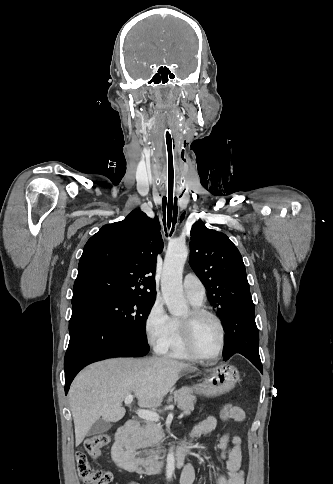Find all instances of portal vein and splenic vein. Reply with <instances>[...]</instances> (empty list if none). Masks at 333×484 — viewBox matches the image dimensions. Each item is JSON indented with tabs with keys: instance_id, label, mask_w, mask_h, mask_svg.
Returning <instances> with one entry per match:
<instances>
[{
	"instance_id": "portal-vein-and-splenic-vein-1",
	"label": "portal vein and splenic vein",
	"mask_w": 333,
	"mask_h": 484,
	"mask_svg": "<svg viewBox=\"0 0 333 484\" xmlns=\"http://www.w3.org/2000/svg\"><path fill=\"white\" fill-rule=\"evenodd\" d=\"M132 401H133L132 395H127L124 399L125 404H130ZM137 415L138 417L147 421H152V422L159 421V415L155 411L139 409L137 410ZM183 417H184L183 414H180L178 416L179 419H182Z\"/></svg>"
}]
</instances>
